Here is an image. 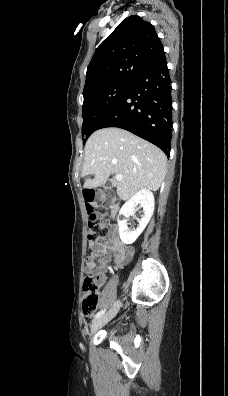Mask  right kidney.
Segmentation results:
<instances>
[{
    "label": "right kidney",
    "instance_id": "1",
    "mask_svg": "<svg viewBox=\"0 0 228 396\" xmlns=\"http://www.w3.org/2000/svg\"><path fill=\"white\" fill-rule=\"evenodd\" d=\"M154 195L148 189L138 191L132 198H130L120 209L118 218L119 235L124 244H133L136 239L143 232L149 223L154 212ZM140 205L143 208V216L139 221V227L136 230H130L127 226V218L135 214V208Z\"/></svg>",
    "mask_w": 228,
    "mask_h": 396
}]
</instances>
